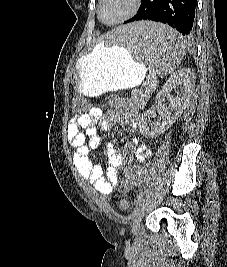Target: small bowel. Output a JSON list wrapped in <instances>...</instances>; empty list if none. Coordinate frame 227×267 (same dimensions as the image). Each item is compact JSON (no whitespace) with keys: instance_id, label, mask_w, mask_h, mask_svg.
Masks as SVG:
<instances>
[{"instance_id":"small-bowel-1","label":"small bowel","mask_w":227,"mask_h":267,"mask_svg":"<svg viewBox=\"0 0 227 267\" xmlns=\"http://www.w3.org/2000/svg\"><path fill=\"white\" fill-rule=\"evenodd\" d=\"M138 106L127 99L118 101L115 110L105 112L101 108L91 107L87 111L74 115L67 126V138L75 149L73 164L80 176L93 184L103 194L112 192L118 183V168L134 157L139 162H146L151 156L149 147L139 138L131 137L128 145L119 146L110 142L106 146L108 168L104 175L100 166L88 158V152L101 145L98 130L108 131L113 122L138 126Z\"/></svg>"}]
</instances>
